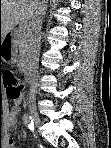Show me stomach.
I'll list each match as a JSON object with an SVG mask.
<instances>
[{
  "label": "stomach",
  "instance_id": "1",
  "mask_svg": "<svg viewBox=\"0 0 111 148\" xmlns=\"http://www.w3.org/2000/svg\"><path fill=\"white\" fill-rule=\"evenodd\" d=\"M3 42V40H2ZM17 54L14 42H9L7 45L0 44V59L7 64L16 62Z\"/></svg>",
  "mask_w": 111,
  "mask_h": 148
}]
</instances>
